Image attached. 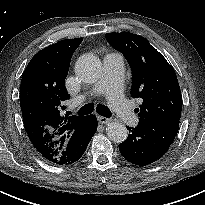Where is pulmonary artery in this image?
Here are the masks:
<instances>
[{
    "label": "pulmonary artery",
    "instance_id": "e3ab8cb5",
    "mask_svg": "<svg viewBox=\"0 0 205 205\" xmlns=\"http://www.w3.org/2000/svg\"><path fill=\"white\" fill-rule=\"evenodd\" d=\"M124 68V58L121 54H106L103 58V72L88 95L105 94L121 121L126 125L136 126L138 116L132 112L129 102L122 95ZM85 96L81 95L78 101H83Z\"/></svg>",
    "mask_w": 205,
    "mask_h": 205
}]
</instances>
